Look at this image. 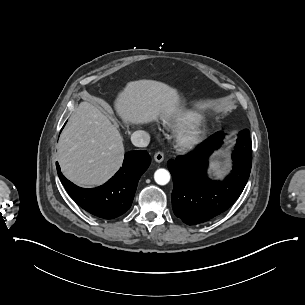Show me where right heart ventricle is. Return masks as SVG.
<instances>
[{"label": "right heart ventricle", "instance_id": "1", "mask_svg": "<svg viewBox=\"0 0 305 305\" xmlns=\"http://www.w3.org/2000/svg\"><path fill=\"white\" fill-rule=\"evenodd\" d=\"M203 119V114L195 110H186L178 114L172 119H163V127L171 130H178L179 128L191 122Z\"/></svg>", "mask_w": 305, "mask_h": 305}]
</instances>
